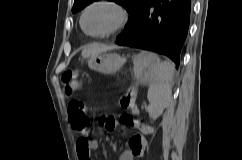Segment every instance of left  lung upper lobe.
<instances>
[{
	"mask_svg": "<svg viewBox=\"0 0 242 160\" xmlns=\"http://www.w3.org/2000/svg\"><path fill=\"white\" fill-rule=\"evenodd\" d=\"M94 1L96 0H75L72 8V12L76 13L77 11L83 9L85 6L89 5ZM110 1H113L122 5L129 13V20L125 25V29L122 33V34H126L130 31L133 22L137 19V17L145 8L148 0H110Z\"/></svg>",
	"mask_w": 242,
	"mask_h": 160,
	"instance_id": "obj_1",
	"label": "left lung upper lobe"
}]
</instances>
